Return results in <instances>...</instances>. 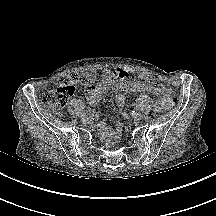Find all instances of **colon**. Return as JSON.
I'll list each match as a JSON object with an SVG mask.
<instances>
[{
    "instance_id": "colon-1",
    "label": "colon",
    "mask_w": 216,
    "mask_h": 216,
    "mask_svg": "<svg viewBox=\"0 0 216 216\" xmlns=\"http://www.w3.org/2000/svg\"><path fill=\"white\" fill-rule=\"evenodd\" d=\"M91 81L89 75L72 71L65 75L56 89L47 92L42 97V102L49 109L57 114H61L75 92V85L78 83L88 84ZM178 103L175 93L168 89L165 93L164 104L166 107H174Z\"/></svg>"
}]
</instances>
